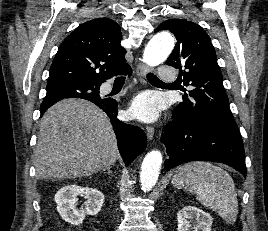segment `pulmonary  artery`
<instances>
[{
    "mask_svg": "<svg viewBox=\"0 0 268 231\" xmlns=\"http://www.w3.org/2000/svg\"><path fill=\"white\" fill-rule=\"evenodd\" d=\"M176 78V74L171 66L162 65L159 68V79L170 82Z\"/></svg>",
    "mask_w": 268,
    "mask_h": 231,
    "instance_id": "pulmonary-artery-1",
    "label": "pulmonary artery"
}]
</instances>
